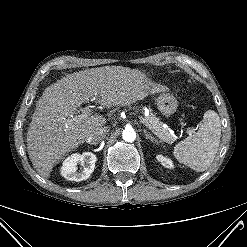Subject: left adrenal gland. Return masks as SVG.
<instances>
[{
  "mask_svg": "<svg viewBox=\"0 0 247 247\" xmlns=\"http://www.w3.org/2000/svg\"><path fill=\"white\" fill-rule=\"evenodd\" d=\"M143 132H144L147 140H150L151 142L158 144V141H156L154 139V137H152V135L149 132H147V130H143Z\"/></svg>",
  "mask_w": 247,
  "mask_h": 247,
  "instance_id": "a2214340",
  "label": "left adrenal gland"
}]
</instances>
